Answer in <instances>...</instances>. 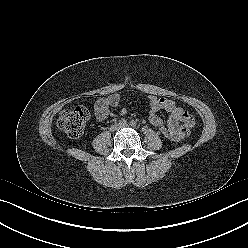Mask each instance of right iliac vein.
<instances>
[{
	"label": "right iliac vein",
	"mask_w": 248,
	"mask_h": 248,
	"mask_svg": "<svg viewBox=\"0 0 248 248\" xmlns=\"http://www.w3.org/2000/svg\"><path fill=\"white\" fill-rule=\"evenodd\" d=\"M119 127H120V125H118V124H116V125L114 126L115 129H118Z\"/></svg>",
	"instance_id": "right-iliac-vein-1"
}]
</instances>
